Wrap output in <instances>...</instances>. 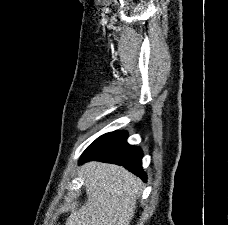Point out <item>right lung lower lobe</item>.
Returning <instances> with one entry per match:
<instances>
[{"mask_svg": "<svg viewBox=\"0 0 228 225\" xmlns=\"http://www.w3.org/2000/svg\"><path fill=\"white\" fill-rule=\"evenodd\" d=\"M125 131H115L102 135L96 139L82 154L79 164L89 160L122 165L132 173L146 181V174L142 169V151L140 148L126 142Z\"/></svg>", "mask_w": 228, "mask_h": 225, "instance_id": "obj_1", "label": "right lung lower lobe"}]
</instances>
